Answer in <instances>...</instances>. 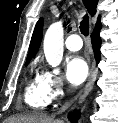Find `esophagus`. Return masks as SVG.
I'll return each instance as SVG.
<instances>
[{"instance_id":"1","label":"esophagus","mask_w":118,"mask_h":123,"mask_svg":"<svg viewBox=\"0 0 118 123\" xmlns=\"http://www.w3.org/2000/svg\"><path fill=\"white\" fill-rule=\"evenodd\" d=\"M96 75H97L96 69L93 67L91 69L90 77H89V80H88L85 88L79 93V103L80 104L83 103V101L89 94L90 90L92 89L94 81L96 79Z\"/></svg>"}]
</instances>
